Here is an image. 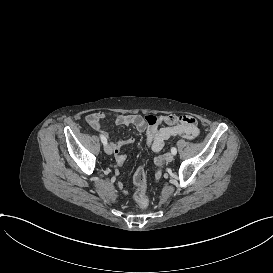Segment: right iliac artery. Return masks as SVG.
I'll return each instance as SVG.
<instances>
[{"mask_svg":"<svg viewBox=\"0 0 273 273\" xmlns=\"http://www.w3.org/2000/svg\"><path fill=\"white\" fill-rule=\"evenodd\" d=\"M100 138H101V141H102V143H103L104 145L107 144V139L105 138L104 135L100 134Z\"/></svg>","mask_w":273,"mask_h":273,"instance_id":"82829eb1","label":"right iliac artery"}]
</instances>
